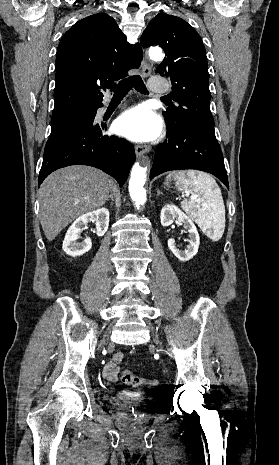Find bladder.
<instances>
[{
  "label": "bladder",
  "instance_id": "1",
  "mask_svg": "<svg viewBox=\"0 0 279 465\" xmlns=\"http://www.w3.org/2000/svg\"><path fill=\"white\" fill-rule=\"evenodd\" d=\"M121 400L125 403H140L146 401V398L142 395H131V394H123L121 396Z\"/></svg>",
  "mask_w": 279,
  "mask_h": 465
}]
</instances>
